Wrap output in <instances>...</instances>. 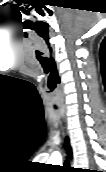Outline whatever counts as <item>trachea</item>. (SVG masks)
Here are the masks:
<instances>
[{
  "label": "trachea",
  "instance_id": "obj_1",
  "mask_svg": "<svg viewBox=\"0 0 106 172\" xmlns=\"http://www.w3.org/2000/svg\"><path fill=\"white\" fill-rule=\"evenodd\" d=\"M65 164L67 165L68 164V161H66Z\"/></svg>",
  "mask_w": 106,
  "mask_h": 172
}]
</instances>
